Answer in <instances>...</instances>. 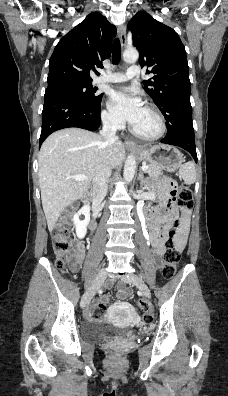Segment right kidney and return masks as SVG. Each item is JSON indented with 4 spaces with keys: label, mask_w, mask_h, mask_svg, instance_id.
<instances>
[{
    "label": "right kidney",
    "mask_w": 228,
    "mask_h": 396,
    "mask_svg": "<svg viewBox=\"0 0 228 396\" xmlns=\"http://www.w3.org/2000/svg\"><path fill=\"white\" fill-rule=\"evenodd\" d=\"M83 215L84 219H80V216ZM90 222V206L86 205L82 207L74 216L73 223L76 228V235L78 238L83 239L87 232V226Z\"/></svg>",
    "instance_id": "right-kidney-1"
}]
</instances>
